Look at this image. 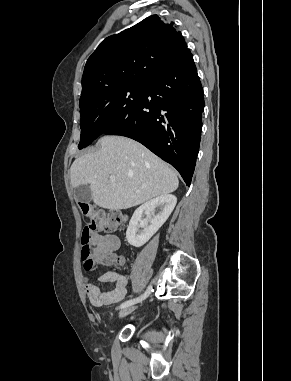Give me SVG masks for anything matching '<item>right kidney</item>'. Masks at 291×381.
I'll return each instance as SVG.
<instances>
[{"label":"right kidney","mask_w":291,"mask_h":381,"mask_svg":"<svg viewBox=\"0 0 291 381\" xmlns=\"http://www.w3.org/2000/svg\"><path fill=\"white\" fill-rule=\"evenodd\" d=\"M177 198L172 194H165L153 198L137 208L129 222L126 239L128 243L135 247L143 246L166 222L172 213ZM159 211L155 215V209ZM143 214L146 215L142 219Z\"/></svg>","instance_id":"1"}]
</instances>
